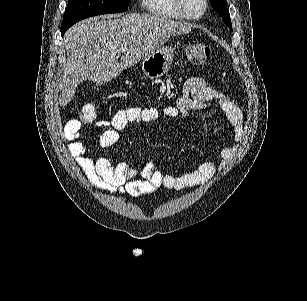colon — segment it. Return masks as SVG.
Here are the masks:
<instances>
[{
  "label": "colon",
  "instance_id": "colon-1",
  "mask_svg": "<svg viewBox=\"0 0 307 301\" xmlns=\"http://www.w3.org/2000/svg\"><path fill=\"white\" fill-rule=\"evenodd\" d=\"M186 54L189 61L200 65L207 61L211 55V49L208 45L201 42H192L186 48ZM97 118V110L93 105L83 107L80 114V121L84 124H91Z\"/></svg>",
  "mask_w": 307,
  "mask_h": 301
}]
</instances>
